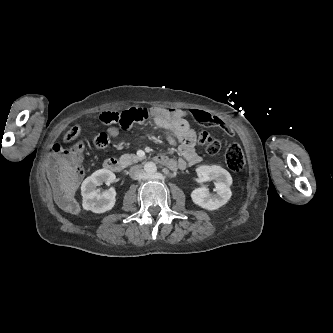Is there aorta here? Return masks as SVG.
Segmentation results:
<instances>
[{
	"label": "aorta",
	"instance_id": "obj_1",
	"mask_svg": "<svg viewBox=\"0 0 333 333\" xmlns=\"http://www.w3.org/2000/svg\"><path fill=\"white\" fill-rule=\"evenodd\" d=\"M144 171L147 174H154L157 171V166L154 162H147L144 165Z\"/></svg>",
	"mask_w": 333,
	"mask_h": 333
}]
</instances>
